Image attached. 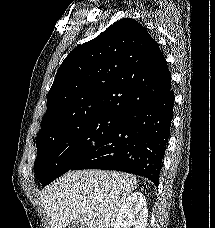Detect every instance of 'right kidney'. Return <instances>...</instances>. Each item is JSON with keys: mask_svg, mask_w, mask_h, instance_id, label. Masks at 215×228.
Listing matches in <instances>:
<instances>
[{"mask_svg": "<svg viewBox=\"0 0 215 228\" xmlns=\"http://www.w3.org/2000/svg\"><path fill=\"white\" fill-rule=\"evenodd\" d=\"M148 218L144 194L133 192L123 200L113 228H146Z\"/></svg>", "mask_w": 215, "mask_h": 228, "instance_id": "obj_1", "label": "right kidney"}]
</instances>
